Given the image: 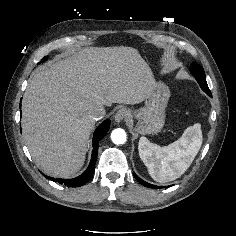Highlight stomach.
Segmentation results:
<instances>
[{
  "instance_id": "stomach-1",
  "label": "stomach",
  "mask_w": 236,
  "mask_h": 236,
  "mask_svg": "<svg viewBox=\"0 0 236 236\" xmlns=\"http://www.w3.org/2000/svg\"><path fill=\"white\" fill-rule=\"evenodd\" d=\"M170 97V90L163 82H153L150 95L145 106L134 112L138 120L135 130L142 134H156L161 131L165 123V109Z\"/></svg>"
}]
</instances>
